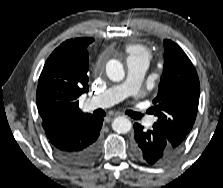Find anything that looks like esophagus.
I'll return each instance as SVG.
<instances>
[{
  "label": "esophagus",
  "mask_w": 223,
  "mask_h": 188,
  "mask_svg": "<svg viewBox=\"0 0 223 188\" xmlns=\"http://www.w3.org/2000/svg\"><path fill=\"white\" fill-rule=\"evenodd\" d=\"M119 114L117 113V114H115L114 116H118ZM113 120V117H108V118H106V121L107 122H110V121H112Z\"/></svg>",
  "instance_id": "obj_1"
}]
</instances>
